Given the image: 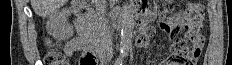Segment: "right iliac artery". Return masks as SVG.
Masks as SVG:
<instances>
[{
	"label": "right iliac artery",
	"mask_w": 232,
	"mask_h": 65,
	"mask_svg": "<svg viewBox=\"0 0 232 65\" xmlns=\"http://www.w3.org/2000/svg\"><path fill=\"white\" fill-rule=\"evenodd\" d=\"M116 65H122V59L118 58V60L116 61Z\"/></svg>",
	"instance_id": "1"
}]
</instances>
